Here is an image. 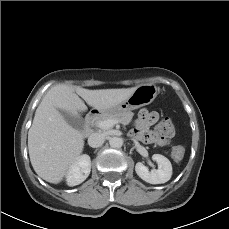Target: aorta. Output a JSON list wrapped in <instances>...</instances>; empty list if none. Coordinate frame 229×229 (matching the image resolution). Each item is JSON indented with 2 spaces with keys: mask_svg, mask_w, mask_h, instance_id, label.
Wrapping results in <instances>:
<instances>
[{
  "mask_svg": "<svg viewBox=\"0 0 229 229\" xmlns=\"http://www.w3.org/2000/svg\"><path fill=\"white\" fill-rule=\"evenodd\" d=\"M109 144L112 148H121L123 145V140L120 137H111L109 139Z\"/></svg>",
  "mask_w": 229,
  "mask_h": 229,
  "instance_id": "762f6f07",
  "label": "aorta"
}]
</instances>
